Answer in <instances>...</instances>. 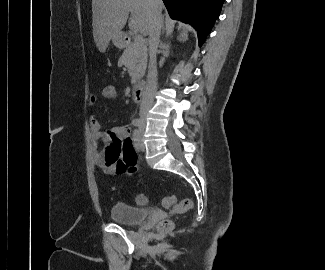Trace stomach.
<instances>
[{
	"mask_svg": "<svg viewBox=\"0 0 325 270\" xmlns=\"http://www.w3.org/2000/svg\"><path fill=\"white\" fill-rule=\"evenodd\" d=\"M113 43L118 48H123L125 46L123 34H118L113 37Z\"/></svg>",
	"mask_w": 325,
	"mask_h": 270,
	"instance_id": "stomach-1",
	"label": "stomach"
}]
</instances>
